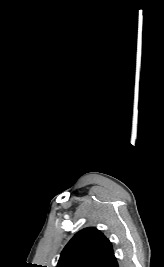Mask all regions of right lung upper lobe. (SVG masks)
I'll list each match as a JSON object with an SVG mask.
<instances>
[{"instance_id":"cb5924a9","label":"right lung upper lobe","mask_w":164,"mask_h":267,"mask_svg":"<svg viewBox=\"0 0 164 267\" xmlns=\"http://www.w3.org/2000/svg\"><path fill=\"white\" fill-rule=\"evenodd\" d=\"M113 256L110 241L100 231L89 227L69 241L56 267H101Z\"/></svg>"}]
</instances>
